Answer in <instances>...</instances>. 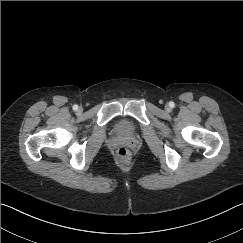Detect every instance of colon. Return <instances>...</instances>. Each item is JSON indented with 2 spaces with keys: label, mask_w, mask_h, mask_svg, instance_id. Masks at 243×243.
<instances>
[{
  "label": "colon",
  "mask_w": 243,
  "mask_h": 243,
  "mask_svg": "<svg viewBox=\"0 0 243 243\" xmlns=\"http://www.w3.org/2000/svg\"><path fill=\"white\" fill-rule=\"evenodd\" d=\"M117 158L119 159V161H121L124 164L129 163L130 161V154L128 152V150L124 147H120L117 150Z\"/></svg>",
  "instance_id": "colon-1"
}]
</instances>
